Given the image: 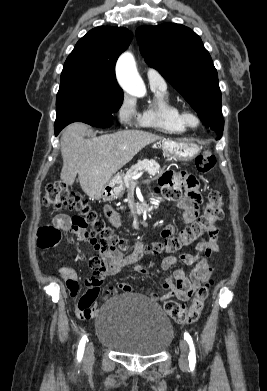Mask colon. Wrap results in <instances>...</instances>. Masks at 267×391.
Segmentation results:
<instances>
[{"mask_svg": "<svg viewBox=\"0 0 267 391\" xmlns=\"http://www.w3.org/2000/svg\"><path fill=\"white\" fill-rule=\"evenodd\" d=\"M216 159L210 150L197 155L195 164L200 173H209L214 169ZM43 203L54 211L69 209L79 212L76 216L79 222L90 224L93 233L89 244L98 252L104 253L110 249L127 248V242L116 235L106 222L93 211L87 200L78 192L70 189L63 182H54L47 186ZM224 201L218 191H211L204 212L192 224L182 229L178 235L165 238L163 241L143 245L136 249V257L142 252L175 253L205 236L217 233L216 223L223 218ZM61 238L60 231L53 226L41 227L38 231V245L42 248L55 246ZM211 281L204 282L196 291L189 306H183L173 300L164 303L168 316L178 324L188 325L196 322L204 308L209 295Z\"/></svg>", "mask_w": 267, "mask_h": 391, "instance_id": "1", "label": "colon"}]
</instances>
